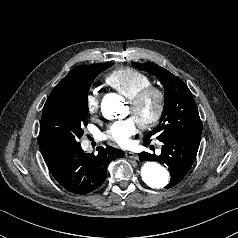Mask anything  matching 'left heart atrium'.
Wrapping results in <instances>:
<instances>
[{
  "mask_svg": "<svg viewBox=\"0 0 238 238\" xmlns=\"http://www.w3.org/2000/svg\"><path fill=\"white\" fill-rule=\"evenodd\" d=\"M138 131V122L135 118L118 121L109 126L106 131V138L115 142L119 146L128 147L131 144V138Z\"/></svg>",
  "mask_w": 238,
  "mask_h": 238,
  "instance_id": "39dd6f15",
  "label": "left heart atrium"
}]
</instances>
